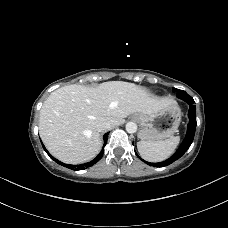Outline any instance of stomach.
Listing matches in <instances>:
<instances>
[{
    "label": "stomach",
    "instance_id": "0dacf381",
    "mask_svg": "<svg viewBox=\"0 0 228 228\" xmlns=\"http://www.w3.org/2000/svg\"><path fill=\"white\" fill-rule=\"evenodd\" d=\"M134 118L140 124L141 130L138 137L142 141H160L177 132L181 121V111L175 101H170L156 113H136Z\"/></svg>",
    "mask_w": 228,
    "mask_h": 228
}]
</instances>
